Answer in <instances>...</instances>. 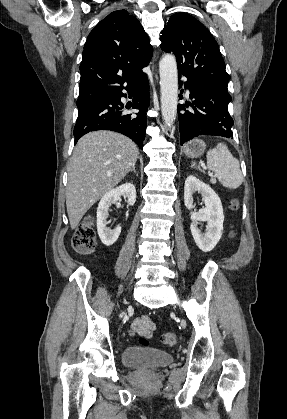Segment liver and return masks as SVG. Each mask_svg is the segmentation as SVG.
Segmentation results:
<instances>
[{
  "mask_svg": "<svg viewBox=\"0 0 287 419\" xmlns=\"http://www.w3.org/2000/svg\"><path fill=\"white\" fill-rule=\"evenodd\" d=\"M138 147L128 137L106 130L90 132L77 143L68 165L66 207L75 229L85 213L135 165Z\"/></svg>",
  "mask_w": 287,
  "mask_h": 419,
  "instance_id": "obj_1",
  "label": "liver"
}]
</instances>
